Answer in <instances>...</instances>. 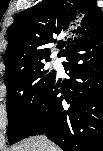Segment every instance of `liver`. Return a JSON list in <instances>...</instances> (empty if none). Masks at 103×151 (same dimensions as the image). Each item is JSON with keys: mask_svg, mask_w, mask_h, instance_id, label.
Instances as JSON below:
<instances>
[{"mask_svg": "<svg viewBox=\"0 0 103 151\" xmlns=\"http://www.w3.org/2000/svg\"><path fill=\"white\" fill-rule=\"evenodd\" d=\"M46 149L58 151L53 144L50 147H45L44 137L37 136L24 140L18 146H15L12 151H46Z\"/></svg>", "mask_w": 103, "mask_h": 151, "instance_id": "liver-1", "label": "liver"}]
</instances>
